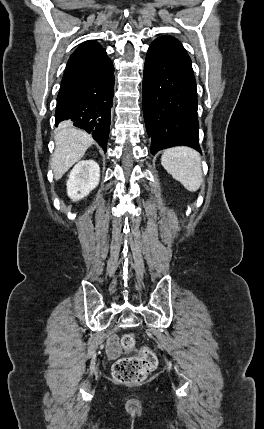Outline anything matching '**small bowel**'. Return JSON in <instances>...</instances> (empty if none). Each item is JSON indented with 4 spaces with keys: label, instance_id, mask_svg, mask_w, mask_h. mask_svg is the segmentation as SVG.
<instances>
[{
    "label": "small bowel",
    "instance_id": "small-bowel-1",
    "mask_svg": "<svg viewBox=\"0 0 264 429\" xmlns=\"http://www.w3.org/2000/svg\"><path fill=\"white\" fill-rule=\"evenodd\" d=\"M107 354L111 358H116L120 354V347L118 343V337L116 335H112L107 340L106 345Z\"/></svg>",
    "mask_w": 264,
    "mask_h": 429
}]
</instances>
